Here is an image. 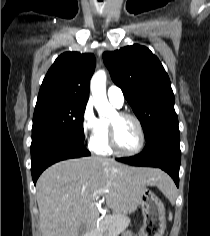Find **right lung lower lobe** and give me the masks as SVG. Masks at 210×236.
Masks as SVG:
<instances>
[{
    "label": "right lung lower lobe",
    "instance_id": "1",
    "mask_svg": "<svg viewBox=\"0 0 210 236\" xmlns=\"http://www.w3.org/2000/svg\"><path fill=\"white\" fill-rule=\"evenodd\" d=\"M84 144L60 135L41 136L32 139L31 173L34 184L48 166L65 159L89 156Z\"/></svg>",
    "mask_w": 210,
    "mask_h": 236
}]
</instances>
